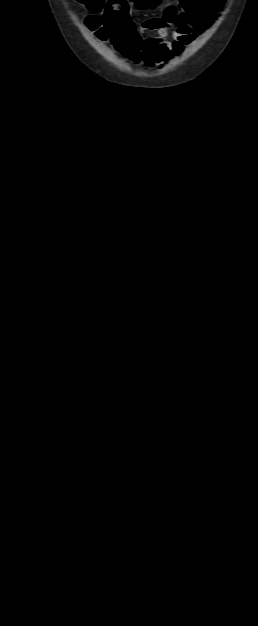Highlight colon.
Masks as SVG:
<instances>
[{"label": "colon", "mask_w": 258, "mask_h": 626, "mask_svg": "<svg viewBox=\"0 0 258 626\" xmlns=\"http://www.w3.org/2000/svg\"><path fill=\"white\" fill-rule=\"evenodd\" d=\"M81 4L86 5L95 10H102L106 8L108 2L106 0H78ZM137 6L145 7V8H153L155 7L159 0H132ZM90 22L94 25L98 24V20L96 18H89ZM134 26L131 25V29Z\"/></svg>", "instance_id": "1"}]
</instances>
